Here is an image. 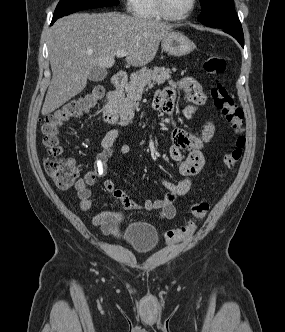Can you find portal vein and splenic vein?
Masks as SVG:
<instances>
[{"label":"portal vein and splenic vein","mask_w":285,"mask_h":332,"mask_svg":"<svg viewBox=\"0 0 285 332\" xmlns=\"http://www.w3.org/2000/svg\"><path fill=\"white\" fill-rule=\"evenodd\" d=\"M128 54V52L124 51V50H119L116 52L117 57H124Z\"/></svg>","instance_id":"18ae733b"}]
</instances>
